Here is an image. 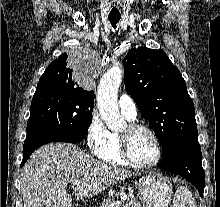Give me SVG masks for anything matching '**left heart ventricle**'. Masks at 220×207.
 I'll use <instances>...</instances> for the list:
<instances>
[{
    "label": "left heart ventricle",
    "mask_w": 220,
    "mask_h": 207,
    "mask_svg": "<svg viewBox=\"0 0 220 207\" xmlns=\"http://www.w3.org/2000/svg\"><path fill=\"white\" fill-rule=\"evenodd\" d=\"M120 134H127L131 157L138 163L147 164L156 158V146L151 136L143 130L129 132L125 127Z\"/></svg>",
    "instance_id": "left-heart-ventricle-1"
}]
</instances>
